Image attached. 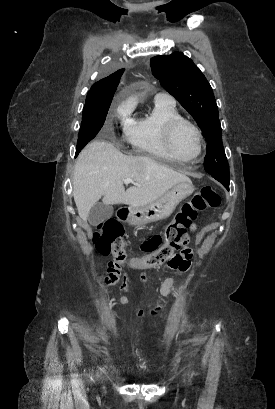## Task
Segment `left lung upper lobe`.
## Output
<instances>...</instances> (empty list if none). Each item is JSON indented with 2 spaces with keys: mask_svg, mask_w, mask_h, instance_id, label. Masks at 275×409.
Wrapping results in <instances>:
<instances>
[{
  "mask_svg": "<svg viewBox=\"0 0 275 409\" xmlns=\"http://www.w3.org/2000/svg\"><path fill=\"white\" fill-rule=\"evenodd\" d=\"M152 73L161 86L192 115L206 140L204 168L210 175L229 179L222 144L218 107L212 88L191 59L181 52L151 58Z\"/></svg>",
  "mask_w": 275,
  "mask_h": 409,
  "instance_id": "left-lung-upper-lobe-1",
  "label": "left lung upper lobe"
}]
</instances>
